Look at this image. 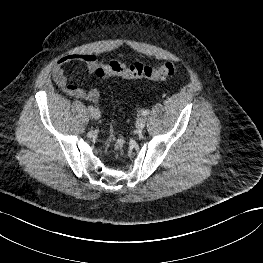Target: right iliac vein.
<instances>
[{
	"mask_svg": "<svg viewBox=\"0 0 263 263\" xmlns=\"http://www.w3.org/2000/svg\"><path fill=\"white\" fill-rule=\"evenodd\" d=\"M91 116L97 120L100 118L101 114L100 111L98 109H94L93 111H91Z\"/></svg>",
	"mask_w": 263,
	"mask_h": 263,
	"instance_id": "right-iliac-vein-1",
	"label": "right iliac vein"
}]
</instances>
